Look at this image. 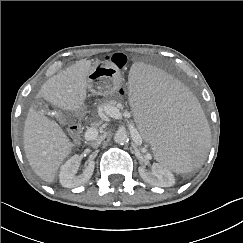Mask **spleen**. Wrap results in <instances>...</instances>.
I'll return each mask as SVG.
<instances>
[{
  "instance_id": "spleen-1",
  "label": "spleen",
  "mask_w": 243,
  "mask_h": 243,
  "mask_svg": "<svg viewBox=\"0 0 243 243\" xmlns=\"http://www.w3.org/2000/svg\"><path fill=\"white\" fill-rule=\"evenodd\" d=\"M130 108L155 158L166 168L191 172L204 160L208 123L192 93L178 80L144 62L126 69Z\"/></svg>"
}]
</instances>
